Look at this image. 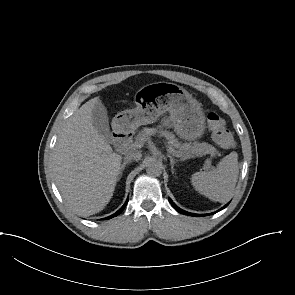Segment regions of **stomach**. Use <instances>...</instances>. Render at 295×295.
Instances as JSON below:
<instances>
[{
	"instance_id": "obj_1",
	"label": "stomach",
	"mask_w": 295,
	"mask_h": 295,
	"mask_svg": "<svg viewBox=\"0 0 295 295\" xmlns=\"http://www.w3.org/2000/svg\"><path fill=\"white\" fill-rule=\"evenodd\" d=\"M136 108L118 114V121L129 129L155 122L169 112L175 132L186 140H195L205 130L201 104L184 88L169 82L143 87L136 96Z\"/></svg>"
}]
</instances>
